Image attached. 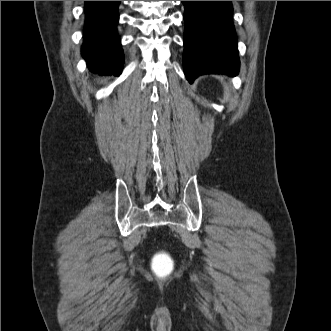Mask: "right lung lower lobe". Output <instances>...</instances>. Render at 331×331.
Masks as SVG:
<instances>
[{"mask_svg":"<svg viewBox=\"0 0 331 331\" xmlns=\"http://www.w3.org/2000/svg\"><path fill=\"white\" fill-rule=\"evenodd\" d=\"M119 3L85 1L82 55L89 68L99 74L119 75L123 69V51L116 33Z\"/></svg>","mask_w":331,"mask_h":331,"instance_id":"98d812e1","label":"right lung lower lobe"}]
</instances>
